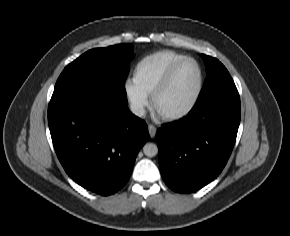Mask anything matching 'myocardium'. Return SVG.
<instances>
[{
    "instance_id": "1",
    "label": "myocardium",
    "mask_w": 290,
    "mask_h": 236,
    "mask_svg": "<svg viewBox=\"0 0 290 236\" xmlns=\"http://www.w3.org/2000/svg\"><path fill=\"white\" fill-rule=\"evenodd\" d=\"M186 62H191L195 65L196 70H197V76H198L196 90L193 94L192 99L184 108H182L178 111H174V112H161V111H159L156 107V100H157L158 96L168 87V85L170 84L176 70ZM203 81H204L203 71H202V67L199 64V62L192 57H183L182 59L177 61L168 70V72L166 73L164 78L161 80V82L152 91L151 97H150V105H151L153 112L159 118H161L162 120H165V121H173V120H177V119L185 117L193 110V108L197 104L198 99H199L201 92H202V89H203Z\"/></svg>"
}]
</instances>
